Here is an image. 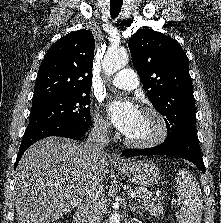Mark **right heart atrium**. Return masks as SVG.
Masks as SVG:
<instances>
[{
    "instance_id": "right-heart-atrium-1",
    "label": "right heart atrium",
    "mask_w": 221,
    "mask_h": 223,
    "mask_svg": "<svg viewBox=\"0 0 221 223\" xmlns=\"http://www.w3.org/2000/svg\"><path fill=\"white\" fill-rule=\"evenodd\" d=\"M93 123L95 131L100 134H107L109 131L108 122L103 119L99 114H95L93 117Z\"/></svg>"
}]
</instances>
